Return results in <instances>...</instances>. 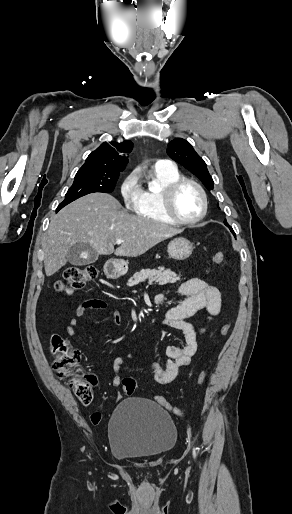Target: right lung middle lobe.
<instances>
[{
  "label": "right lung middle lobe",
  "instance_id": "dd1d6c3e",
  "mask_svg": "<svg viewBox=\"0 0 292 514\" xmlns=\"http://www.w3.org/2000/svg\"><path fill=\"white\" fill-rule=\"evenodd\" d=\"M118 177L76 175L72 186L68 189L65 199L57 207V211L72 201L94 192L111 193L114 191Z\"/></svg>",
  "mask_w": 292,
  "mask_h": 514
}]
</instances>
